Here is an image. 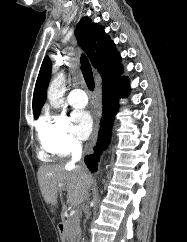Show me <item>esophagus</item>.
Masks as SVG:
<instances>
[{"label": "esophagus", "instance_id": "1", "mask_svg": "<svg viewBox=\"0 0 187 242\" xmlns=\"http://www.w3.org/2000/svg\"><path fill=\"white\" fill-rule=\"evenodd\" d=\"M100 92V90H99ZM100 118H101V108L98 114V117L96 118L95 126H94V131L92 133L91 139L86 147V151L88 153L92 152L93 147L97 141V136H98V130H99V123H100Z\"/></svg>", "mask_w": 187, "mask_h": 242}]
</instances>
